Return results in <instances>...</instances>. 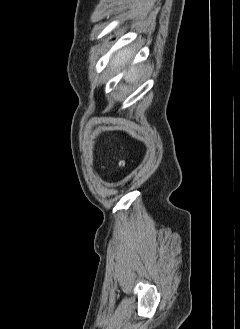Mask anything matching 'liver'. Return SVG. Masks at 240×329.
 I'll list each match as a JSON object with an SVG mask.
<instances>
[{
    "label": "liver",
    "mask_w": 240,
    "mask_h": 329,
    "mask_svg": "<svg viewBox=\"0 0 240 329\" xmlns=\"http://www.w3.org/2000/svg\"><path fill=\"white\" fill-rule=\"evenodd\" d=\"M133 51L132 48H124L121 51H119L111 60L110 62V66L111 68L120 70L121 67H124L125 65H127L129 63V61L132 59L133 57ZM138 72L139 70L137 69V67H133L131 68L125 75V80L127 82H135L137 76H138Z\"/></svg>",
    "instance_id": "1"
}]
</instances>
